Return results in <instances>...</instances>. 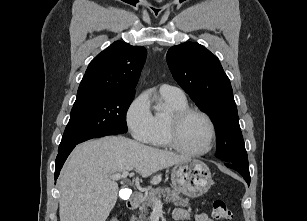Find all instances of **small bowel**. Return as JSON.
Instances as JSON below:
<instances>
[{"instance_id": "small-bowel-1", "label": "small bowel", "mask_w": 307, "mask_h": 221, "mask_svg": "<svg viewBox=\"0 0 307 221\" xmlns=\"http://www.w3.org/2000/svg\"><path fill=\"white\" fill-rule=\"evenodd\" d=\"M172 215L175 221H188L191 219L190 213L184 208L174 209ZM193 221H213V220H211L205 213H200L193 217Z\"/></svg>"}]
</instances>
